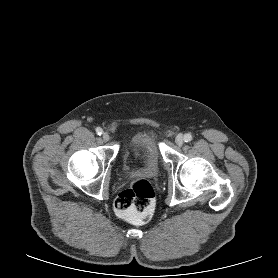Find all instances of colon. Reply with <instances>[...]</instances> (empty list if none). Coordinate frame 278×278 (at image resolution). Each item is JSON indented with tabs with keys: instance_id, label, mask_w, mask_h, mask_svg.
I'll return each mask as SVG.
<instances>
[{
	"instance_id": "5ec220e1",
	"label": "colon",
	"mask_w": 278,
	"mask_h": 278,
	"mask_svg": "<svg viewBox=\"0 0 278 278\" xmlns=\"http://www.w3.org/2000/svg\"><path fill=\"white\" fill-rule=\"evenodd\" d=\"M155 193L145 179L134 180L130 186L116 198L114 208L117 215L132 223L147 222L153 214Z\"/></svg>"
}]
</instances>
